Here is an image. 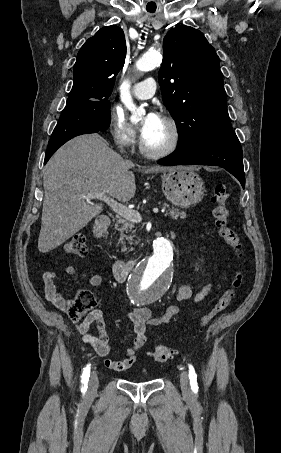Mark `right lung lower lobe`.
I'll return each instance as SVG.
<instances>
[{"mask_svg":"<svg viewBox=\"0 0 281 453\" xmlns=\"http://www.w3.org/2000/svg\"><path fill=\"white\" fill-rule=\"evenodd\" d=\"M109 124L110 103L66 105L50 137L44 164L68 140L78 135L104 131Z\"/></svg>","mask_w":281,"mask_h":453,"instance_id":"obj_1","label":"right lung lower lobe"}]
</instances>
